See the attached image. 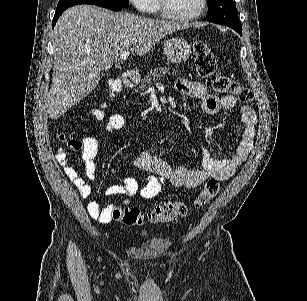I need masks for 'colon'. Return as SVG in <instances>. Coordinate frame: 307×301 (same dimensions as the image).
Returning a JSON list of instances; mask_svg holds the SVG:
<instances>
[{
	"label": "colon",
	"mask_w": 307,
	"mask_h": 301,
	"mask_svg": "<svg viewBox=\"0 0 307 301\" xmlns=\"http://www.w3.org/2000/svg\"><path fill=\"white\" fill-rule=\"evenodd\" d=\"M196 70L207 86L218 93L235 96L242 103H249L254 99L250 88L244 86L231 77L217 72V65L212 48L204 41H196L193 46ZM110 95L117 94L121 89L120 80H111L108 83ZM92 119L103 118L101 107L90 110ZM61 140L72 149H79L82 142L61 137ZM219 182L211 178L206 181L202 190L194 200V207L201 208L213 199L219 192ZM190 206L184 202L165 201L156 205L150 211H142L137 207L114 208L112 217L128 226H142L147 223H168L186 216Z\"/></svg>",
	"instance_id": "obj_1"
}]
</instances>
